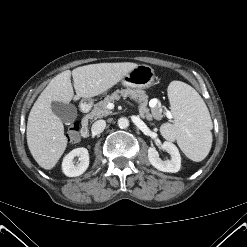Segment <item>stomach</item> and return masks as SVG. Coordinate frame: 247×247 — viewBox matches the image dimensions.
Returning <instances> with one entry per match:
<instances>
[{"instance_id": "1", "label": "stomach", "mask_w": 247, "mask_h": 247, "mask_svg": "<svg viewBox=\"0 0 247 247\" xmlns=\"http://www.w3.org/2000/svg\"><path fill=\"white\" fill-rule=\"evenodd\" d=\"M155 74L148 65H138L122 78V85L142 90L149 88L154 84Z\"/></svg>"}]
</instances>
